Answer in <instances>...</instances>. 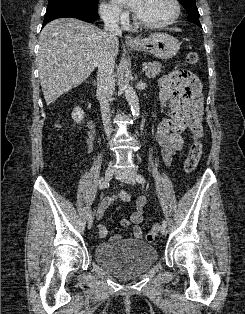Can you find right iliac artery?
<instances>
[{"mask_svg":"<svg viewBox=\"0 0 245 314\" xmlns=\"http://www.w3.org/2000/svg\"><path fill=\"white\" fill-rule=\"evenodd\" d=\"M108 185H109V183H107V182L100 183L99 189H104V188H106ZM91 214H92L91 212L88 214V218L91 216Z\"/></svg>","mask_w":245,"mask_h":314,"instance_id":"right-iliac-artery-1","label":"right iliac artery"}]
</instances>
